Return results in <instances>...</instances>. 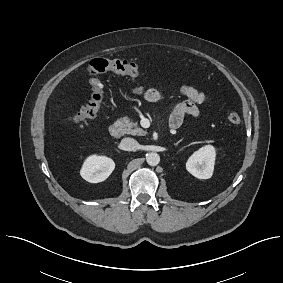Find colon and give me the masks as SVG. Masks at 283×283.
Listing matches in <instances>:
<instances>
[{"label": "colon", "mask_w": 283, "mask_h": 283, "mask_svg": "<svg viewBox=\"0 0 283 283\" xmlns=\"http://www.w3.org/2000/svg\"><path fill=\"white\" fill-rule=\"evenodd\" d=\"M87 71L89 73L88 83L91 87L90 96L77 113L69 115L68 117L70 121L78 125H83L93 119L101 110L104 100V91L102 81L99 78L100 74L110 71L136 77L139 75L140 67L137 62L126 59L98 58L90 62ZM227 119L234 126L241 124V117L234 110L227 113Z\"/></svg>", "instance_id": "5ec220e1"}]
</instances>
